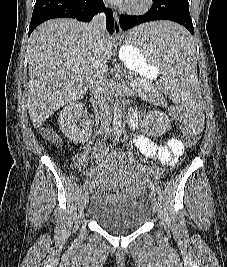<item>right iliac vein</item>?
Wrapping results in <instances>:
<instances>
[{
	"label": "right iliac vein",
	"mask_w": 227,
	"mask_h": 267,
	"mask_svg": "<svg viewBox=\"0 0 227 267\" xmlns=\"http://www.w3.org/2000/svg\"><path fill=\"white\" fill-rule=\"evenodd\" d=\"M82 201H83L84 207H86L88 205V202H89V194H88V192L84 193V195L82 197Z\"/></svg>",
	"instance_id": "right-iliac-vein-1"
}]
</instances>
